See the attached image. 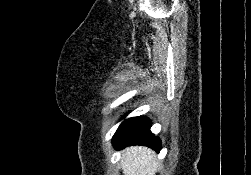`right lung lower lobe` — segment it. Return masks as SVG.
Returning <instances> with one entry per match:
<instances>
[{"label":"right lung lower lobe","instance_id":"98d812e1","mask_svg":"<svg viewBox=\"0 0 251 175\" xmlns=\"http://www.w3.org/2000/svg\"><path fill=\"white\" fill-rule=\"evenodd\" d=\"M151 121L144 116L125 120L113 136L112 143L116 149L128 145H145L159 152L161 141L150 131Z\"/></svg>","mask_w":251,"mask_h":175}]
</instances>
